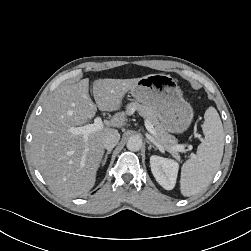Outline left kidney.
Instances as JSON below:
<instances>
[{"label": "left kidney", "instance_id": "obj_1", "mask_svg": "<svg viewBox=\"0 0 251 251\" xmlns=\"http://www.w3.org/2000/svg\"><path fill=\"white\" fill-rule=\"evenodd\" d=\"M150 167L156 181L166 190H172L175 186L179 164L175 160L152 155Z\"/></svg>", "mask_w": 251, "mask_h": 251}]
</instances>
